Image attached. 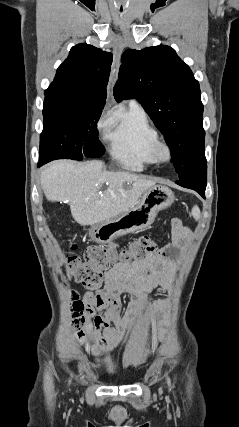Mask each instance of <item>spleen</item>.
<instances>
[{"instance_id":"3e777b00","label":"spleen","mask_w":239,"mask_h":427,"mask_svg":"<svg viewBox=\"0 0 239 427\" xmlns=\"http://www.w3.org/2000/svg\"><path fill=\"white\" fill-rule=\"evenodd\" d=\"M191 214H192V216H193V218L195 220H199L200 219V215H201L199 207L198 206H194L193 209H192Z\"/></svg>"}]
</instances>
